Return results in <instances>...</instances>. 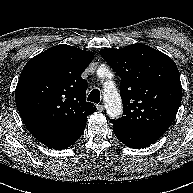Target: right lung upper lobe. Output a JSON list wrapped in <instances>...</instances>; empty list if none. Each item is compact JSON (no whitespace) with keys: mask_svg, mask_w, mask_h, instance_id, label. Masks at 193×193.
<instances>
[{"mask_svg":"<svg viewBox=\"0 0 193 193\" xmlns=\"http://www.w3.org/2000/svg\"><path fill=\"white\" fill-rule=\"evenodd\" d=\"M93 58V52L61 44L24 66L15 101L24 124L38 141L44 144L85 128L87 116L96 107L86 101L88 84L81 73Z\"/></svg>","mask_w":193,"mask_h":193,"instance_id":"cb5924a9","label":"right lung upper lobe"}]
</instances>
